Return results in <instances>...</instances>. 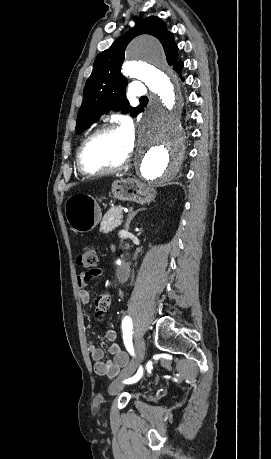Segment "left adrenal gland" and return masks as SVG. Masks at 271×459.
<instances>
[{"label": "left adrenal gland", "mask_w": 271, "mask_h": 459, "mask_svg": "<svg viewBox=\"0 0 271 459\" xmlns=\"http://www.w3.org/2000/svg\"><path fill=\"white\" fill-rule=\"evenodd\" d=\"M134 208H129L126 224H125V229H129V224L131 220H133L134 216L138 214V212H141V210H146V208H140V210H136V212H133Z\"/></svg>", "instance_id": "left-adrenal-gland-1"}]
</instances>
